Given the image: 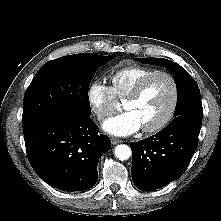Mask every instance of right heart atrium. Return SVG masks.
I'll return each instance as SVG.
<instances>
[{
	"label": "right heart atrium",
	"mask_w": 221,
	"mask_h": 221,
	"mask_svg": "<svg viewBox=\"0 0 221 221\" xmlns=\"http://www.w3.org/2000/svg\"><path fill=\"white\" fill-rule=\"evenodd\" d=\"M86 99L98 121L105 120L114 110L115 97L110 87L101 81L96 80L89 84Z\"/></svg>",
	"instance_id": "1"
}]
</instances>
